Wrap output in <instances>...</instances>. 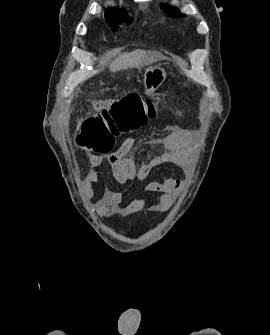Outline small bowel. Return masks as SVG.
<instances>
[{
	"instance_id": "obj_1",
	"label": "small bowel",
	"mask_w": 270,
	"mask_h": 335,
	"mask_svg": "<svg viewBox=\"0 0 270 335\" xmlns=\"http://www.w3.org/2000/svg\"><path fill=\"white\" fill-rule=\"evenodd\" d=\"M106 105H108L107 101L98 103V107ZM133 143V138L127 137L116 151L107 156L90 155L88 158L89 168L85 176L86 186L91 189L97 183L99 179L97 168L105 161L109 163L115 181L120 184L135 180L142 181L149 176L154 168L163 164L186 166L191 162L192 138L186 129L176 124L169 125L166 136L157 142L162 151L143 161L139 167L128 156ZM182 187L183 181L173 177L149 181L145 185V190L152 195L137 198L126 206H122L123 192L106 188L102 199L96 203L95 210L101 217L108 218L113 213L130 214L145 204L152 203L153 211L164 212L171 207Z\"/></svg>"
}]
</instances>
